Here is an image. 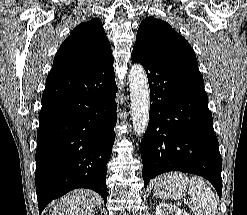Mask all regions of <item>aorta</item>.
<instances>
[{
    "instance_id": "762f6f07",
    "label": "aorta",
    "mask_w": 247,
    "mask_h": 215,
    "mask_svg": "<svg viewBox=\"0 0 247 215\" xmlns=\"http://www.w3.org/2000/svg\"><path fill=\"white\" fill-rule=\"evenodd\" d=\"M131 116L136 136L146 132L149 123L150 91L146 72L141 64H134L129 73Z\"/></svg>"
}]
</instances>
